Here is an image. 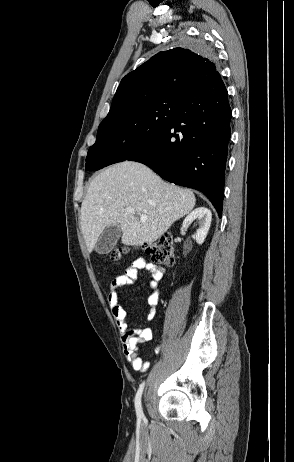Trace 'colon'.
Segmentation results:
<instances>
[{
    "mask_svg": "<svg viewBox=\"0 0 294 462\" xmlns=\"http://www.w3.org/2000/svg\"><path fill=\"white\" fill-rule=\"evenodd\" d=\"M121 251H126V248L113 251L111 259H118ZM144 251L156 264L170 266L174 262V242L173 238L168 234L162 235L156 241L144 245Z\"/></svg>",
    "mask_w": 294,
    "mask_h": 462,
    "instance_id": "colon-1",
    "label": "colon"
}]
</instances>
